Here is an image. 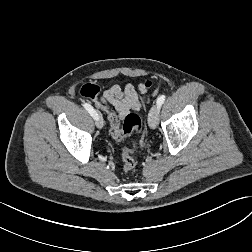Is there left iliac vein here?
<instances>
[{"mask_svg": "<svg viewBox=\"0 0 252 252\" xmlns=\"http://www.w3.org/2000/svg\"><path fill=\"white\" fill-rule=\"evenodd\" d=\"M158 117H159V107L158 105H154L148 116V123L150 128L155 129L158 126Z\"/></svg>", "mask_w": 252, "mask_h": 252, "instance_id": "1", "label": "left iliac vein"}]
</instances>
